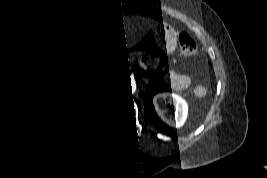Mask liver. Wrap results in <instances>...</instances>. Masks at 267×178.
I'll list each match as a JSON object with an SVG mask.
<instances>
[{
  "label": "liver",
  "instance_id": "1",
  "mask_svg": "<svg viewBox=\"0 0 267 178\" xmlns=\"http://www.w3.org/2000/svg\"><path fill=\"white\" fill-rule=\"evenodd\" d=\"M124 29L128 48L137 45L159 23L150 19L124 17Z\"/></svg>",
  "mask_w": 267,
  "mask_h": 178
}]
</instances>
